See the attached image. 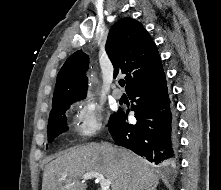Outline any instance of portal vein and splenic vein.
<instances>
[{
	"label": "portal vein and splenic vein",
	"instance_id": "1",
	"mask_svg": "<svg viewBox=\"0 0 221 190\" xmlns=\"http://www.w3.org/2000/svg\"><path fill=\"white\" fill-rule=\"evenodd\" d=\"M91 178H96V182L100 183L101 190H109L110 180L105 179V177L99 172H89L82 176L83 181L89 180Z\"/></svg>",
	"mask_w": 221,
	"mask_h": 190
}]
</instances>
